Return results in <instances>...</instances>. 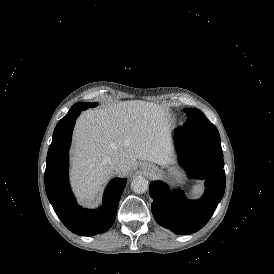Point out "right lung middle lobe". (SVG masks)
Here are the masks:
<instances>
[{
	"mask_svg": "<svg viewBox=\"0 0 274 274\" xmlns=\"http://www.w3.org/2000/svg\"><path fill=\"white\" fill-rule=\"evenodd\" d=\"M88 105L87 108H90V107H96L98 105V103H85Z\"/></svg>",
	"mask_w": 274,
	"mask_h": 274,
	"instance_id": "dd1d6c3e",
	"label": "right lung middle lobe"
}]
</instances>
